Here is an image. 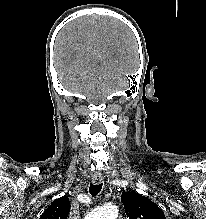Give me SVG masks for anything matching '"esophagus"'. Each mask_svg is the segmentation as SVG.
Listing matches in <instances>:
<instances>
[{
  "mask_svg": "<svg viewBox=\"0 0 206 219\" xmlns=\"http://www.w3.org/2000/svg\"><path fill=\"white\" fill-rule=\"evenodd\" d=\"M102 180H103V177H102L101 174H94V175L92 176V182H93L94 184H100V183L102 182Z\"/></svg>",
  "mask_w": 206,
  "mask_h": 219,
  "instance_id": "34e87169",
  "label": "esophagus"
}]
</instances>
